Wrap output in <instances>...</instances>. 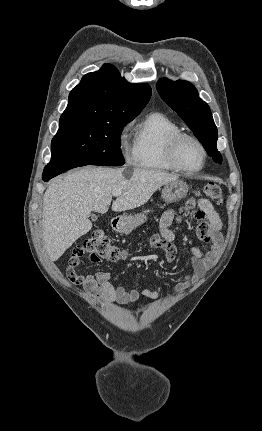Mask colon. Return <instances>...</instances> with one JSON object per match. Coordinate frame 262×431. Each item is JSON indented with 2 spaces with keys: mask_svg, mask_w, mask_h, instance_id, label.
<instances>
[{
  "mask_svg": "<svg viewBox=\"0 0 262 431\" xmlns=\"http://www.w3.org/2000/svg\"><path fill=\"white\" fill-rule=\"evenodd\" d=\"M203 192L205 196L212 202L220 204L222 202V189L216 183H208L204 186ZM193 200L188 205L182 208L181 216L189 214ZM152 247L159 248L166 245V240L161 235H153L150 238ZM88 255L92 261H116L122 258V250L114 245L102 232L94 231L88 238H86L77 248V253L74 254L68 261L66 274L69 278L78 276L76 267L80 259Z\"/></svg>",
  "mask_w": 262,
  "mask_h": 431,
  "instance_id": "1",
  "label": "colon"
}]
</instances>
